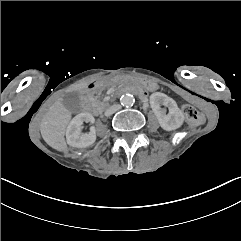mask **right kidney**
<instances>
[{"instance_id":"obj_1","label":"right kidney","mask_w":241,"mask_h":241,"mask_svg":"<svg viewBox=\"0 0 241 241\" xmlns=\"http://www.w3.org/2000/svg\"><path fill=\"white\" fill-rule=\"evenodd\" d=\"M83 122L94 123L95 119L90 113H80L76 115L69 123L66 130V139L68 145L76 148H84L92 145L96 140L95 128L91 127L89 133L82 134Z\"/></svg>"}]
</instances>
